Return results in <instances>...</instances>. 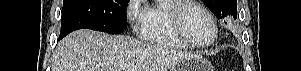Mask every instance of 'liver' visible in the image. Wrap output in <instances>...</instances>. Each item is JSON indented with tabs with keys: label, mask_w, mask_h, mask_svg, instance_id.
Here are the masks:
<instances>
[{
	"label": "liver",
	"mask_w": 301,
	"mask_h": 71,
	"mask_svg": "<svg viewBox=\"0 0 301 71\" xmlns=\"http://www.w3.org/2000/svg\"><path fill=\"white\" fill-rule=\"evenodd\" d=\"M189 56L127 36L84 29L58 44L53 71H168Z\"/></svg>",
	"instance_id": "6515ba94"
}]
</instances>
